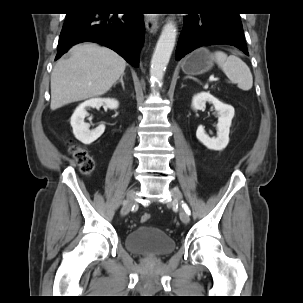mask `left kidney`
<instances>
[{"label": "left kidney", "instance_id": "left-kidney-1", "mask_svg": "<svg viewBox=\"0 0 303 303\" xmlns=\"http://www.w3.org/2000/svg\"><path fill=\"white\" fill-rule=\"evenodd\" d=\"M206 102L214 105L218 115L217 137L210 138L201 125L197 128L196 137L208 149L221 151L229 143V132L234 117V108L231 105L222 103L208 92L196 94L192 99V108L201 110L205 107Z\"/></svg>", "mask_w": 303, "mask_h": 303}]
</instances>
